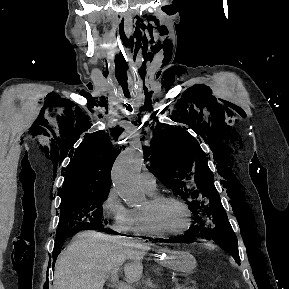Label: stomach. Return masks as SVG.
<instances>
[{"instance_id": "obj_1", "label": "stomach", "mask_w": 289, "mask_h": 289, "mask_svg": "<svg viewBox=\"0 0 289 289\" xmlns=\"http://www.w3.org/2000/svg\"><path fill=\"white\" fill-rule=\"evenodd\" d=\"M163 263L183 275L192 274L197 265L195 257L187 251H168L165 253Z\"/></svg>"}]
</instances>
